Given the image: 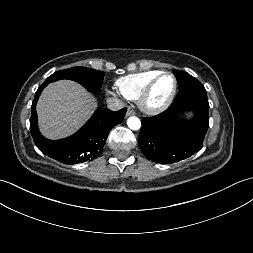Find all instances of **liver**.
<instances>
[{"mask_svg":"<svg viewBox=\"0 0 253 253\" xmlns=\"http://www.w3.org/2000/svg\"><path fill=\"white\" fill-rule=\"evenodd\" d=\"M96 107L94 98L78 83H51L37 104L40 131L53 140L67 137L83 125Z\"/></svg>","mask_w":253,"mask_h":253,"instance_id":"1","label":"liver"}]
</instances>
